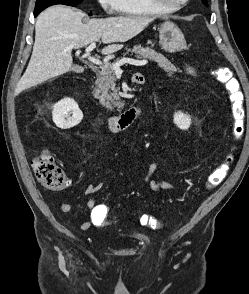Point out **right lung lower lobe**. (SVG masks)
<instances>
[{
  "label": "right lung lower lobe",
  "instance_id": "right-lung-lower-lobe-1",
  "mask_svg": "<svg viewBox=\"0 0 249 294\" xmlns=\"http://www.w3.org/2000/svg\"><path fill=\"white\" fill-rule=\"evenodd\" d=\"M42 10H35L34 11V16L36 17Z\"/></svg>",
  "mask_w": 249,
  "mask_h": 294
}]
</instances>
